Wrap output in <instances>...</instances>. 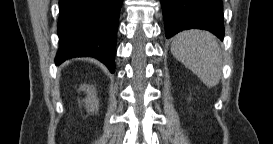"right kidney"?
<instances>
[{
    "label": "right kidney",
    "mask_w": 273,
    "mask_h": 144,
    "mask_svg": "<svg viewBox=\"0 0 273 144\" xmlns=\"http://www.w3.org/2000/svg\"><path fill=\"white\" fill-rule=\"evenodd\" d=\"M88 93V98L85 99L86 107L88 111H91L94 104L97 102V99L95 98V89L93 87H88L87 89H84Z\"/></svg>",
    "instance_id": "ca27d5eb"
}]
</instances>
